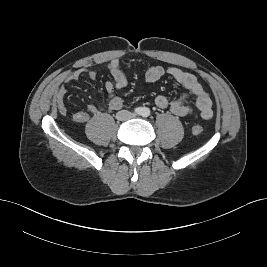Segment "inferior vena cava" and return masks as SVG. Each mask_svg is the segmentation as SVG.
I'll list each match as a JSON object with an SVG mask.
<instances>
[{
  "instance_id": "1",
  "label": "inferior vena cava",
  "mask_w": 267,
  "mask_h": 267,
  "mask_svg": "<svg viewBox=\"0 0 267 267\" xmlns=\"http://www.w3.org/2000/svg\"><path fill=\"white\" fill-rule=\"evenodd\" d=\"M134 115L129 112V111H126V110H122V111H119L117 114H116V118L119 119V120H128L130 118H132Z\"/></svg>"
}]
</instances>
